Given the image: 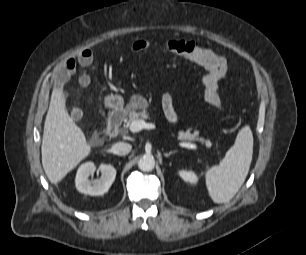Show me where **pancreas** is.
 <instances>
[{
	"instance_id": "1",
	"label": "pancreas",
	"mask_w": 306,
	"mask_h": 255,
	"mask_svg": "<svg viewBox=\"0 0 306 255\" xmlns=\"http://www.w3.org/2000/svg\"><path fill=\"white\" fill-rule=\"evenodd\" d=\"M147 102L146 100L142 99L141 103H137L134 99L132 102L127 106L125 109V119H124V129L126 130L127 127L130 125L131 122L138 120V119H147L149 113L147 112ZM139 110V111H136ZM178 140H202L198 138V131H194L191 133L188 129L187 131H179L177 133ZM208 144V142H207Z\"/></svg>"
}]
</instances>
